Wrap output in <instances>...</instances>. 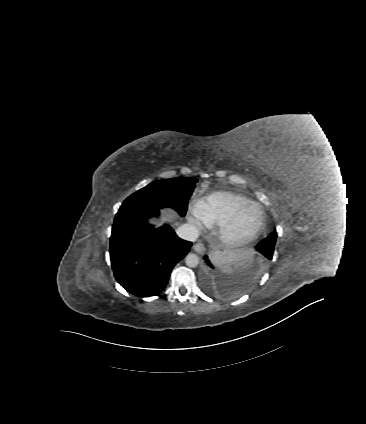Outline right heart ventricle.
Segmentation results:
<instances>
[{
    "label": "right heart ventricle",
    "instance_id": "right-heart-ventricle-1",
    "mask_svg": "<svg viewBox=\"0 0 366 424\" xmlns=\"http://www.w3.org/2000/svg\"><path fill=\"white\" fill-rule=\"evenodd\" d=\"M253 203L248 197L227 191L214 192L201 201L199 215L208 226H220L241 206Z\"/></svg>",
    "mask_w": 366,
    "mask_h": 424
}]
</instances>
